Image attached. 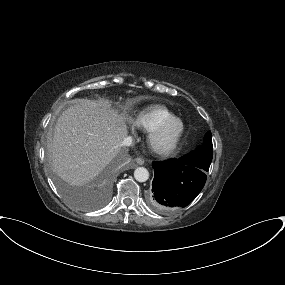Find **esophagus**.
<instances>
[{"instance_id":"34e87169","label":"esophagus","mask_w":285,"mask_h":285,"mask_svg":"<svg viewBox=\"0 0 285 285\" xmlns=\"http://www.w3.org/2000/svg\"><path fill=\"white\" fill-rule=\"evenodd\" d=\"M135 161L137 162V164H139V165H143L144 164V159L143 158H141V157H137L136 159H135ZM131 168H134V166H132Z\"/></svg>"}]
</instances>
